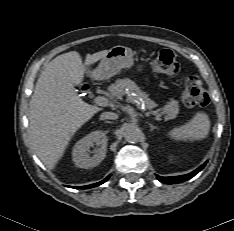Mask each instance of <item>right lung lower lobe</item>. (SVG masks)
I'll list each match as a JSON object with an SVG mask.
<instances>
[{"instance_id":"right-lung-lower-lobe-1","label":"right lung lower lobe","mask_w":234,"mask_h":231,"mask_svg":"<svg viewBox=\"0 0 234 231\" xmlns=\"http://www.w3.org/2000/svg\"><path fill=\"white\" fill-rule=\"evenodd\" d=\"M110 176L106 177L104 180L95 183V184H91V185H87V186H77V187H72V188H76V189H87V188H92V187H96L99 186L101 184H103L104 182H106L109 179Z\"/></svg>"}]
</instances>
